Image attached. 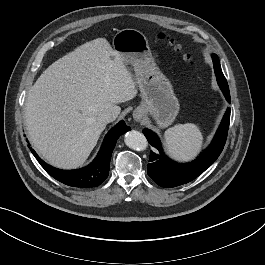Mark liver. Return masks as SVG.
<instances>
[{
    "instance_id": "6515ba94",
    "label": "liver",
    "mask_w": 265,
    "mask_h": 265,
    "mask_svg": "<svg viewBox=\"0 0 265 265\" xmlns=\"http://www.w3.org/2000/svg\"><path fill=\"white\" fill-rule=\"evenodd\" d=\"M138 91L132 74L110 43L97 38L51 64L28 92L25 124L34 149L51 165H82L106 128L103 111L121 112L119 103Z\"/></svg>"
}]
</instances>
